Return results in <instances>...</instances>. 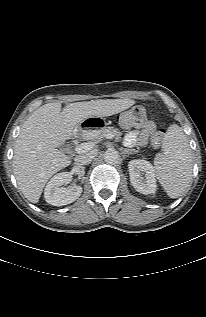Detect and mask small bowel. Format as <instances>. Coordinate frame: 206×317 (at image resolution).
Masks as SVG:
<instances>
[{
	"instance_id": "1",
	"label": "small bowel",
	"mask_w": 206,
	"mask_h": 317,
	"mask_svg": "<svg viewBox=\"0 0 206 317\" xmlns=\"http://www.w3.org/2000/svg\"><path fill=\"white\" fill-rule=\"evenodd\" d=\"M156 125L153 121H148L142 129L133 130L126 134L125 144L127 146L145 145L149 136L155 131Z\"/></svg>"
}]
</instances>
